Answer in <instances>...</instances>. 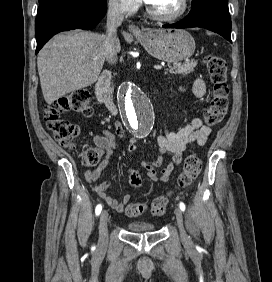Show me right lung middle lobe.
Returning <instances> with one entry per match:
<instances>
[{
  "mask_svg": "<svg viewBox=\"0 0 272 282\" xmlns=\"http://www.w3.org/2000/svg\"><path fill=\"white\" fill-rule=\"evenodd\" d=\"M43 1H45V0H39L40 3L43 2ZM100 1H106V0H100Z\"/></svg>",
  "mask_w": 272,
  "mask_h": 282,
  "instance_id": "1",
  "label": "right lung middle lobe"
}]
</instances>
